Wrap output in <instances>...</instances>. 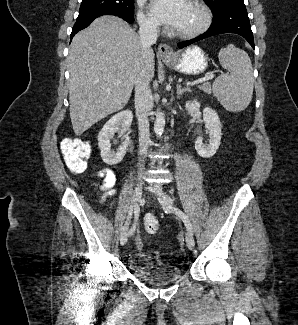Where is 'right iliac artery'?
Segmentation results:
<instances>
[{"label":"right iliac artery","instance_id":"obj_1","mask_svg":"<svg viewBox=\"0 0 298 325\" xmlns=\"http://www.w3.org/2000/svg\"><path fill=\"white\" fill-rule=\"evenodd\" d=\"M139 212H140V210H139V208L137 207V208L134 210V221H135V222H134V224L132 225V227H131L130 230H129V233H128L129 236L133 235L134 232H135L136 224H137V220H138V218H139Z\"/></svg>","mask_w":298,"mask_h":325}]
</instances>
